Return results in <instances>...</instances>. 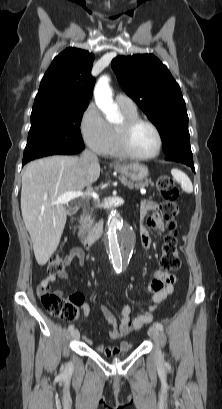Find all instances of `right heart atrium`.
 <instances>
[{
  "mask_svg": "<svg viewBox=\"0 0 222 409\" xmlns=\"http://www.w3.org/2000/svg\"><path fill=\"white\" fill-rule=\"evenodd\" d=\"M79 127L84 142L97 153L105 154L112 140L111 129L94 103L83 111Z\"/></svg>",
  "mask_w": 222,
  "mask_h": 409,
  "instance_id": "obj_1",
  "label": "right heart atrium"
}]
</instances>
